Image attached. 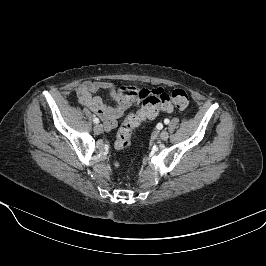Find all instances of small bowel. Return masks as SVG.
Returning <instances> with one entry per match:
<instances>
[{"label":"small bowel","mask_w":266,"mask_h":266,"mask_svg":"<svg viewBox=\"0 0 266 266\" xmlns=\"http://www.w3.org/2000/svg\"><path fill=\"white\" fill-rule=\"evenodd\" d=\"M99 90H105L109 93L111 103H105L101 97L95 93ZM162 90L156 88L152 91L147 89H137L132 86H116L107 81H85L76 89V95L80 104L88 108L94 114L104 121V127L112 130L117 126V120L125 112L138 104L147 93Z\"/></svg>","instance_id":"c3829d8e"}]
</instances>
